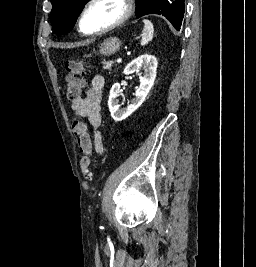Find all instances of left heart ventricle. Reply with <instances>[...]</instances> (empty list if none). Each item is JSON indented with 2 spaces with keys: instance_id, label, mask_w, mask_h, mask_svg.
<instances>
[{
  "instance_id": "1",
  "label": "left heart ventricle",
  "mask_w": 256,
  "mask_h": 267,
  "mask_svg": "<svg viewBox=\"0 0 256 267\" xmlns=\"http://www.w3.org/2000/svg\"><path fill=\"white\" fill-rule=\"evenodd\" d=\"M121 15L122 11L116 4L109 1L97 3L85 12L82 19L83 30L88 33L102 31Z\"/></svg>"
}]
</instances>
